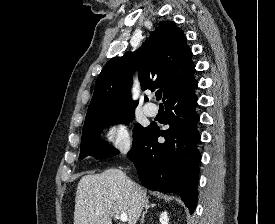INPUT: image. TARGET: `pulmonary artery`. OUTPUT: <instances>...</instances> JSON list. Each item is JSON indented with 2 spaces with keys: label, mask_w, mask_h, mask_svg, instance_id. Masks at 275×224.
I'll use <instances>...</instances> for the list:
<instances>
[{
  "label": "pulmonary artery",
  "mask_w": 275,
  "mask_h": 224,
  "mask_svg": "<svg viewBox=\"0 0 275 224\" xmlns=\"http://www.w3.org/2000/svg\"><path fill=\"white\" fill-rule=\"evenodd\" d=\"M157 107L153 103H148L144 106V112L147 116H155L157 114Z\"/></svg>",
  "instance_id": "pulmonary-artery-1"
}]
</instances>
